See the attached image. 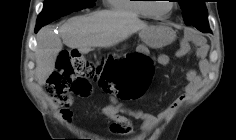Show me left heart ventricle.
<instances>
[{"label": "left heart ventricle", "instance_id": "b2bd125f", "mask_svg": "<svg viewBox=\"0 0 236 140\" xmlns=\"http://www.w3.org/2000/svg\"><path fill=\"white\" fill-rule=\"evenodd\" d=\"M170 4H171V2L158 1L157 3H155L154 7H155V10L159 14H165L169 11Z\"/></svg>", "mask_w": 236, "mask_h": 140}]
</instances>
